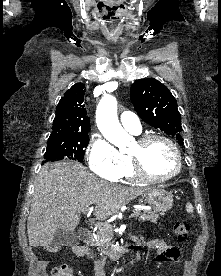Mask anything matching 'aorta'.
I'll use <instances>...</instances> for the list:
<instances>
[{
	"label": "aorta",
	"mask_w": 221,
	"mask_h": 276,
	"mask_svg": "<svg viewBox=\"0 0 221 276\" xmlns=\"http://www.w3.org/2000/svg\"><path fill=\"white\" fill-rule=\"evenodd\" d=\"M96 122L102 135L113 145L124 148L130 136L123 129L117 117V100L115 97L104 96L96 110Z\"/></svg>",
	"instance_id": "obj_1"
}]
</instances>
